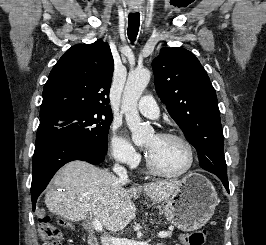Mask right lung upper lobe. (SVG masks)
Instances as JSON below:
<instances>
[{"label": "right lung upper lobe", "mask_w": 266, "mask_h": 245, "mask_svg": "<svg viewBox=\"0 0 266 245\" xmlns=\"http://www.w3.org/2000/svg\"><path fill=\"white\" fill-rule=\"evenodd\" d=\"M113 69L110 47L102 40L68 49L44 85L40 120L74 109L111 111L108 104Z\"/></svg>", "instance_id": "obj_1"}]
</instances>
